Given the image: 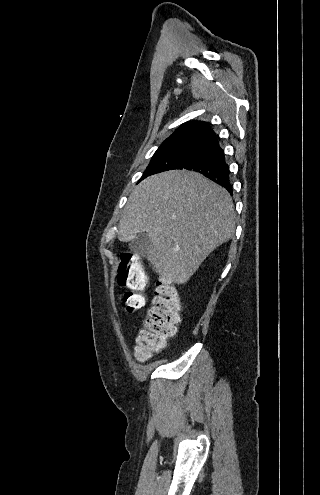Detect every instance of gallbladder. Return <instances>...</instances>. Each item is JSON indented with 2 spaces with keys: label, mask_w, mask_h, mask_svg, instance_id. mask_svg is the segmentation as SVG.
<instances>
[{
  "label": "gallbladder",
  "mask_w": 320,
  "mask_h": 495,
  "mask_svg": "<svg viewBox=\"0 0 320 495\" xmlns=\"http://www.w3.org/2000/svg\"><path fill=\"white\" fill-rule=\"evenodd\" d=\"M150 246L151 238L146 232L138 233L129 244L131 252L140 254L141 256H147Z\"/></svg>",
  "instance_id": "obj_1"
}]
</instances>
